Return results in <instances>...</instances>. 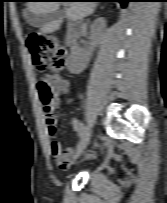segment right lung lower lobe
I'll use <instances>...</instances> for the list:
<instances>
[{
  "instance_id": "obj_1",
  "label": "right lung lower lobe",
  "mask_w": 167,
  "mask_h": 203,
  "mask_svg": "<svg viewBox=\"0 0 167 203\" xmlns=\"http://www.w3.org/2000/svg\"><path fill=\"white\" fill-rule=\"evenodd\" d=\"M32 1V0H27ZM86 1H96V2H120L122 7H126L127 2H130L131 0H86Z\"/></svg>"
}]
</instances>
